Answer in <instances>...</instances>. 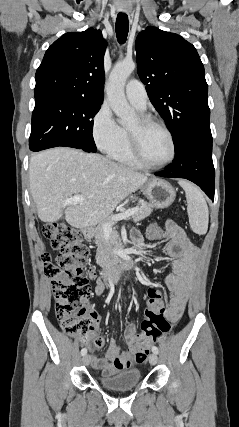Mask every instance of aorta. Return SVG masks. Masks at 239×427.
Segmentation results:
<instances>
[{
    "mask_svg": "<svg viewBox=\"0 0 239 427\" xmlns=\"http://www.w3.org/2000/svg\"><path fill=\"white\" fill-rule=\"evenodd\" d=\"M135 67L136 65L133 61L117 63L109 76V85L107 88L108 101L113 112L123 125L131 122L135 117V111L128 104L124 93L126 80Z\"/></svg>",
    "mask_w": 239,
    "mask_h": 427,
    "instance_id": "obj_1",
    "label": "aorta"
}]
</instances>
